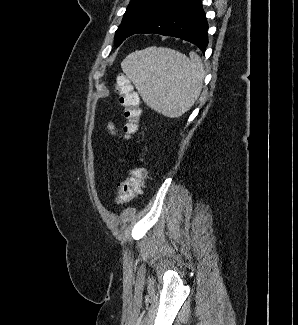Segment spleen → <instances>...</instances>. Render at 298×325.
<instances>
[{"instance_id":"1","label":"spleen","mask_w":298,"mask_h":325,"mask_svg":"<svg viewBox=\"0 0 298 325\" xmlns=\"http://www.w3.org/2000/svg\"><path fill=\"white\" fill-rule=\"evenodd\" d=\"M121 68L144 102L169 118H178L197 100L205 76L196 52L189 56L166 46H148L125 56Z\"/></svg>"}]
</instances>
